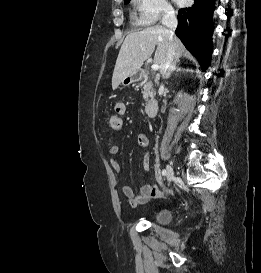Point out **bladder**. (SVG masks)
<instances>
[{
	"label": "bladder",
	"mask_w": 261,
	"mask_h": 273,
	"mask_svg": "<svg viewBox=\"0 0 261 273\" xmlns=\"http://www.w3.org/2000/svg\"><path fill=\"white\" fill-rule=\"evenodd\" d=\"M170 212L167 209H160L153 214V221L158 224H165L170 220Z\"/></svg>",
	"instance_id": "obj_1"
}]
</instances>
